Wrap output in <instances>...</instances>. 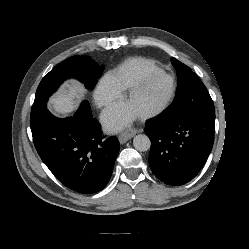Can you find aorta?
<instances>
[{
	"label": "aorta",
	"mask_w": 249,
	"mask_h": 249,
	"mask_svg": "<svg viewBox=\"0 0 249 249\" xmlns=\"http://www.w3.org/2000/svg\"><path fill=\"white\" fill-rule=\"evenodd\" d=\"M133 146L140 152H145L150 149L151 142L147 135L138 134L133 139Z\"/></svg>",
	"instance_id": "aorta-1"
}]
</instances>
